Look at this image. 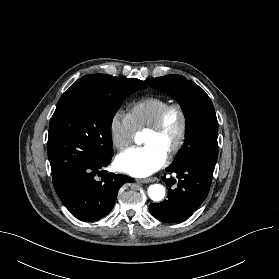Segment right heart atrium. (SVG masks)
Masks as SVG:
<instances>
[{"label":"right heart atrium","instance_id":"1","mask_svg":"<svg viewBox=\"0 0 279 279\" xmlns=\"http://www.w3.org/2000/svg\"><path fill=\"white\" fill-rule=\"evenodd\" d=\"M109 133L114 147L123 151L133 143L137 130L129 115L118 110L110 118Z\"/></svg>","mask_w":279,"mask_h":279}]
</instances>
